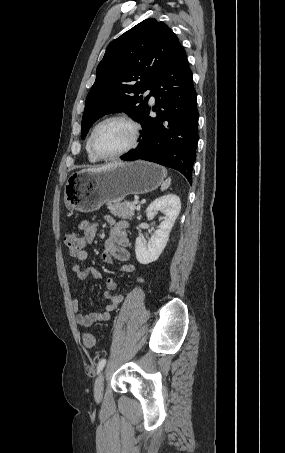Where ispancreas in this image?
Instances as JSON below:
<instances>
[{
	"instance_id": "pancreas-1",
	"label": "pancreas",
	"mask_w": 285,
	"mask_h": 453,
	"mask_svg": "<svg viewBox=\"0 0 285 453\" xmlns=\"http://www.w3.org/2000/svg\"><path fill=\"white\" fill-rule=\"evenodd\" d=\"M107 208L110 210L111 214L118 216L121 219H132L135 215V209L130 208L128 202L122 203H108Z\"/></svg>"
}]
</instances>
